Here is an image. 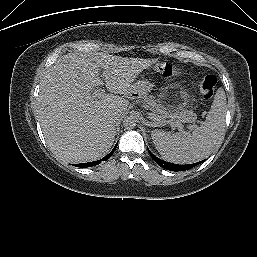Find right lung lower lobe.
I'll use <instances>...</instances> for the list:
<instances>
[{
	"mask_svg": "<svg viewBox=\"0 0 257 257\" xmlns=\"http://www.w3.org/2000/svg\"><path fill=\"white\" fill-rule=\"evenodd\" d=\"M116 147H117V144L115 145V147L113 148V150H112L107 156H105L104 158H102L101 160L94 161V162H89V163L74 164V166H76V167H92V166L98 165L101 161H103V160H105V161L108 160V159L112 156V154H113V152L115 151Z\"/></svg>",
	"mask_w": 257,
	"mask_h": 257,
	"instance_id": "98d812e1",
	"label": "right lung lower lobe"
}]
</instances>
